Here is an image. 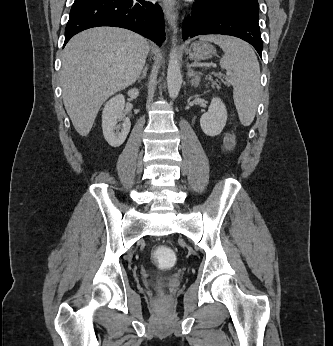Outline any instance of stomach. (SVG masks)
I'll list each match as a JSON object with an SVG mask.
<instances>
[{"label": "stomach", "instance_id": "stomach-1", "mask_svg": "<svg viewBox=\"0 0 333 346\" xmlns=\"http://www.w3.org/2000/svg\"><path fill=\"white\" fill-rule=\"evenodd\" d=\"M186 54L189 55L192 60H207L216 54V49L208 42H194L190 46L185 48Z\"/></svg>", "mask_w": 333, "mask_h": 346}]
</instances>
